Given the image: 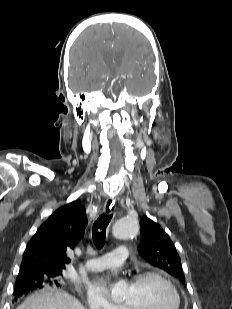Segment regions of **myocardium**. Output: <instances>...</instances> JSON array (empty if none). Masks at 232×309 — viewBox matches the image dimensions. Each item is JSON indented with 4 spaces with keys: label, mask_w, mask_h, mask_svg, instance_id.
Returning <instances> with one entry per match:
<instances>
[{
    "label": "myocardium",
    "mask_w": 232,
    "mask_h": 309,
    "mask_svg": "<svg viewBox=\"0 0 232 309\" xmlns=\"http://www.w3.org/2000/svg\"><path fill=\"white\" fill-rule=\"evenodd\" d=\"M150 278L159 279L168 286L169 290L171 291L175 299V303L172 309H180L182 305L181 294L177 286L173 283V281L164 273L157 271V270H145V271L139 272L138 274L134 275L131 279V283L137 284V283H140ZM122 309H131V308L128 307L127 305H123Z\"/></svg>",
    "instance_id": "f54148a6"
}]
</instances>
